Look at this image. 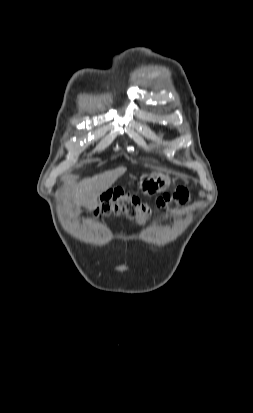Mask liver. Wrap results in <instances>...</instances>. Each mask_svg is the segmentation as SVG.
Instances as JSON below:
<instances>
[{
	"mask_svg": "<svg viewBox=\"0 0 253 413\" xmlns=\"http://www.w3.org/2000/svg\"><path fill=\"white\" fill-rule=\"evenodd\" d=\"M126 167H118L105 171L92 178H86L73 186L68 193L67 212L73 218L80 214V206L92 210L98 202L99 196L106 192L115 181L126 172ZM72 201V202H71ZM75 207V210L72 209Z\"/></svg>",
	"mask_w": 253,
	"mask_h": 413,
	"instance_id": "1",
	"label": "liver"
}]
</instances>
